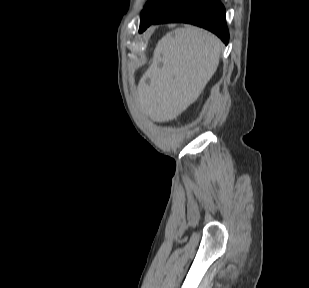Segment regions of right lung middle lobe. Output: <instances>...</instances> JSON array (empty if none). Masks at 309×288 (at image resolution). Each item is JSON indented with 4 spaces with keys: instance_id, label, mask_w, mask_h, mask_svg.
<instances>
[{
    "instance_id": "right-lung-middle-lobe-1",
    "label": "right lung middle lobe",
    "mask_w": 309,
    "mask_h": 288,
    "mask_svg": "<svg viewBox=\"0 0 309 288\" xmlns=\"http://www.w3.org/2000/svg\"><path fill=\"white\" fill-rule=\"evenodd\" d=\"M182 0H151L146 9L141 14L140 29H144L151 25L157 17L178 5Z\"/></svg>"
}]
</instances>
